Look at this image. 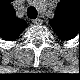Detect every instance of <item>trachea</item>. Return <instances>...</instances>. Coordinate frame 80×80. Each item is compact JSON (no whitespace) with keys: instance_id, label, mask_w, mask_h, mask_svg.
Returning a JSON list of instances; mask_svg holds the SVG:
<instances>
[{"instance_id":"obj_1","label":"trachea","mask_w":80,"mask_h":80,"mask_svg":"<svg viewBox=\"0 0 80 80\" xmlns=\"http://www.w3.org/2000/svg\"><path fill=\"white\" fill-rule=\"evenodd\" d=\"M37 14V10L34 7L31 6L27 9V16L30 19H35L37 17Z\"/></svg>"}]
</instances>
